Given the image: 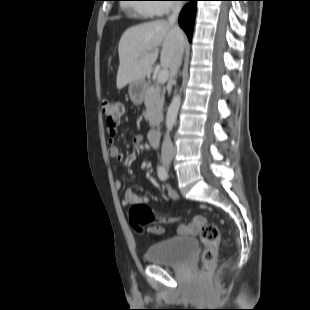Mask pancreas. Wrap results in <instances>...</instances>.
Masks as SVG:
<instances>
[{
  "label": "pancreas",
  "instance_id": "1",
  "mask_svg": "<svg viewBox=\"0 0 310 310\" xmlns=\"http://www.w3.org/2000/svg\"><path fill=\"white\" fill-rule=\"evenodd\" d=\"M144 104L146 107V119L149 121L150 127L160 124L163 118L164 91L160 86L152 85L148 87L144 95Z\"/></svg>",
  "mask_w": 310,
  "mask_h": 310
}]
</instances>
